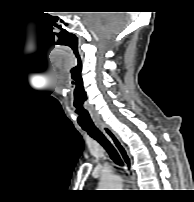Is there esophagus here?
I'll return each instance as SVG.
<instances>
[{"label":"esophagus","instance_id":"obj_1","mask_svg":"<svg viewBox=\"0 0 194 202\" xmlns=\"http://www.w3.org/2000/svg\"><path fill=\"white\" fill-rule=\"evenodd\" d=\"M97 126L99 129L102 130V132L106 135V137L111 141V143L118 151L128 173L129 182L132 186H135V173L132 168L133 161L128 149L119 139V137L108 126H106L105 124H98Z\"/></svg>","mask_w":194,"mask_h":202}]
</instances>
